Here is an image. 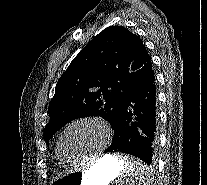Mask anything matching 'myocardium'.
<instances>
[{
	"instance_id": "obj_1",
	"label": "myocardium",
	"mask_w": 207,
	"mask_h": 185,
	"mask_svg": "<svg viewBox=\"0 0 207 185\" xmlns=\"http://www.w3.org/2000/svg\"><path fill=\"white\" fill-rule=\"evenodd\" d=\"M88 121L98 124L104 130V132H105V134L108 138L113 135V131H112L111 127L109 126V124L100 117H97V116H83V117H80V118H77V119L73 120L72 122H70L63 129V131L61 132V135L59 137V141H58L59 153L65 161L73 163V164H79V163H82V162H84L88 159L97 158L101 155V150H100L96 153L89 154V155H87L85 157H82L80 159H73L64 150L63 140H64V137H65L66 133L68 132V130L70 128H72L73 126H75L76 124H78V123L88 122Z\"/></svg>"
}]
</instances>
